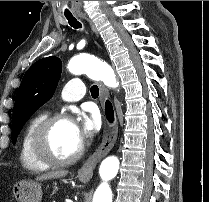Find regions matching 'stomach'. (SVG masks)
Returning a JSON list of instances; mask_svg holds the SVG:
<instances>
[{"mask_svg":"<svg viewBox=\"0 0 209 202\" xmlns=\"http://www.w3.org/2000/svg\"><path fill=\"white\" fill-rule=\"evenodd\" d=\"M13 196L17 202H41L42 188L36 181L21 180L14 185Z\"/></svg>","mask_w":209,"mask_h":202,"instance_id":"obj_1","label":"stomach"}]
</instances>
